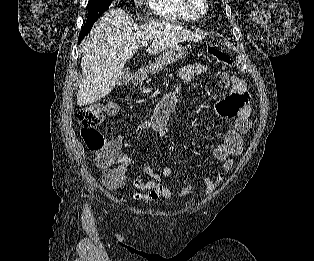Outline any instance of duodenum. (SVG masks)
I'll return each mask as SVG.
<instances>
[{"label": "duodenum", "instance_id": "duodenum-1", "mask_svg": "<svg viewBox=\"0 0 314 261\" xmlns=\"http://www.w3.org/2000/svg\"><path fill=\"white\" fill-rule=\"evenodd\" d=\"M145 79H146V72L140 70L134 74L132 81L134 84H140V83L144 82Z\"/></svg>", "mask_w": 314, "mask_h": 261}]
</instances>
